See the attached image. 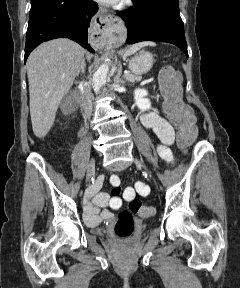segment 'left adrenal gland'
Segmentation results:
<instances>
[{"instance_id": "obj_1", "label": "left adrenal gland", "mask_w": 240, "mask_h": 288, "mask_svg": "<svg viewBox=\"0 0 240 288\" xmlns=\"http://www.w3.org/2000/svg\"><path fill=\"white\" fill-rule=\"evenodd\" d=\"M121 73H122V66H120V68L118 69L117 75L114 77V82L116 84L124 83V80L120 78Z\"/></svg>"}]
</instances>
